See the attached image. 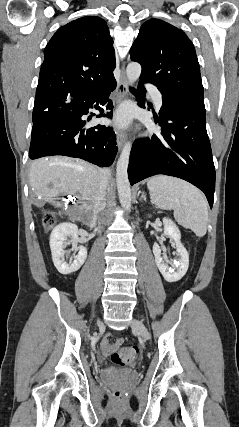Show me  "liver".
Segmentation results:
<instances>
[{"mask_svg":"<svg viewBox=\"0 0 239 427\" xmlns=\"http://www.w3.org/2000/svg\"><path fill=\"white\" fill-rule=\"evenodd\" d=\"M100 169L81 160L67 157L41 158L32 162L30 185L38 205L50 202L57 207L59 196H81L83 210L95 218V196L98 190Z\"/></svg>","mask_w":239,"mask_h":427,"instance_id":"6515ba94","label":"liver"}]
</instances>
